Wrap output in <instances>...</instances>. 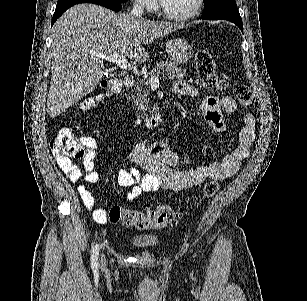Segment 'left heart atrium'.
<instances>
[{"label": "left heart atrium", "mask_w": 307, "mask_h": 301, "mask_svg": "<svg viewBox=\"0 0 307 301\" xmlns=\"http://www.w3.org/2000/svg\"><path fill=\"white\" fill-rule=\"evenodd\" d=\"M132 62H141V61H132Z\"/></svg>", "instance_id": "1"}]
</instances>
